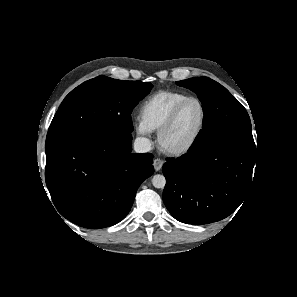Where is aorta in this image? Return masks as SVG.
<instances>
[{
  "instance_id": "aorta-1",
  "label": "aorta",
  "mask_w": 297,
  "mask_h": 297,
  "mask_svg": "<svg viewBox=\"0 0 297 297\" xmlns=\"http://www.w3.org/2000/svg\"><path fill=\"white\" fill-rule=\"evenodd\" d=\"M152 184L155 188L163 189L166 184V179L164 175H161V174L154 175V177L152 178Z\"/></svg>"
}]
</instances>
